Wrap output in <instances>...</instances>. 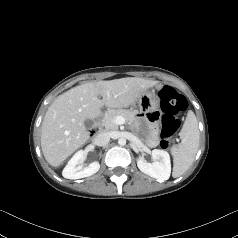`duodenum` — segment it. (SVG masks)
<instances>
[{
	"label": "duodenum",
	"instance_id": "obj_1",
	"mask_svg": "<svg viewBox=\"0 0 238 238\" xmlns=\"http://www.w3.org/2000/svg\"><path fill=\"white\" fill-rule=\"evenodd\" d=\"M98 129H99V118L96 120V122L93 126L92 133H97Z\"/></svg>",
	"mask_w": 238,
	"mask_h": 238
}]
</instances>
